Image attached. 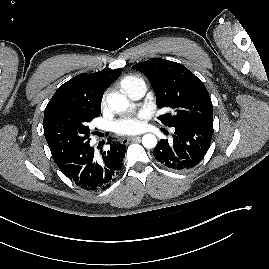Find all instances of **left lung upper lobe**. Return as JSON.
Listing matches in <instances>:
<instances>
[{
  "label": "left lung upper lobe",
  "instance_id": "1",
  "mask_svg": "<svg viewBox=\"0 0 269 269\" xmlns=\"http://www.w3.org/2000/svg\"><path fill=\"white\" fill-rule=\"evenodd\" d=\"M133 69L150 80L158 108L171 112L159 116L166 126L213 123V105L203 82L185 66L160 58L137 63Z\"/></svg>",
  "mask_w": 269,
  "mask_h": 269
}]
</instances>
